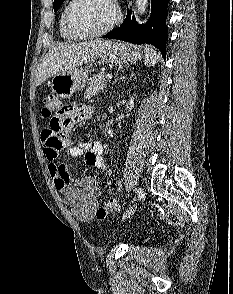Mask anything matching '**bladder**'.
<instances>
[{
  "label": "bladder",
  "instance_id": "obj_1",
  "mask_svg": "<svg viewBox=\"0 0 233 294\" xmlns=\"http://www.w3.org/2000/svg\"><path fill=\"white\" fill-rule=\"evenodd\" d=\"M112 235H113V236H118V235H120V232L114 230V231L112 232Z\"/></svg>",
  "mask_w": 233,
  "mask_h": 294
}]
</instances>
